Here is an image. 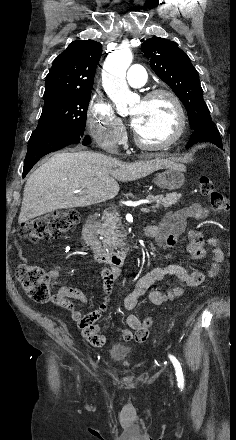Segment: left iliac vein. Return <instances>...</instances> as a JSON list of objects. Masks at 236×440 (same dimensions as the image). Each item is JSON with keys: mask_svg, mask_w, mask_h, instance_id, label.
I'll return each mask as SVG.
<instances>
[{"mask_svg": "<svg viewBox=\"0 0 236 440\" xmlns=\"http://www.w3.org/2000/svg\"><path fill=\"white\" fill-rule=\"evenodd\" d=\"M171 382H173V377H171Z\"/></svg>", "mask_w": 236, "mask_h": 440, "instance_id": "4c4485c4", "label": "left iliac vein"}]
</instances>
